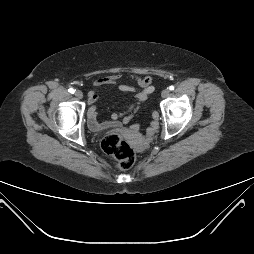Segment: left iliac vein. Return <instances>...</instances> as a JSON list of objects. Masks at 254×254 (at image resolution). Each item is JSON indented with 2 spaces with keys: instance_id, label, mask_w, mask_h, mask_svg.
Segmentation results:
<instances>
[{
  "instance_id": "left-iliac-vein-1",
  "label": "left iliac vein",
  "mask_w": 254,
  "mask_h": 254,
  "mask_svg": "<svg viewBox=\"0 0 254 254\" xmlns=\"http://www.w3.org/2000/svg\"><path fill=\"white\" fill-rule=\"evenodd\" d=\"M168 95H169V90H168V89H164V90L162 91V93H161V96H162L163 98H166Z\"/></svg>"
}]
</instances>
